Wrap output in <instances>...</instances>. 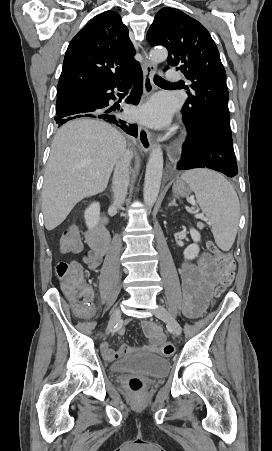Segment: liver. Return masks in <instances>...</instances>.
<instances>
[{
    "mask_svg": "<svg viewBox=\"0 0 272 451\" xmlns=\"http://www.w3.org/2000/svg\"><path fill=\"white\" fill-rule=\"evenodd\" d=\"M125 138L107 122L78 118L59 128L44 174L42 210L46 229L59 226L83 198L108 186Z\"/></svg>",
    "mask_w": 272,
    "mask_h": 451,
    "instance_id": "liver-1",
    "label": "liver"
}]
</instances>
